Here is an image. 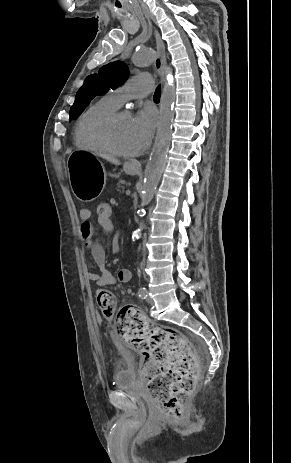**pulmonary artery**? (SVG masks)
Segmentation results:
<instances>
[{"label": "pulmonary artery", "instance_id": "pulmonary-artery-1", "mask_svg": "<svg viewBox=\"0 0 291 463\" xmlns=\"http://www.w3.org/2000/svg\"><path fill=\"white\" fill-rule=\"evenodd\" d=\"M153 91V78L148 74H139L130 78L122 86L111 90L109 96L118 106L128 100L143 98Z\"/></svg>", "mask_w": 291, "mask_h": 463}]
</instances>
